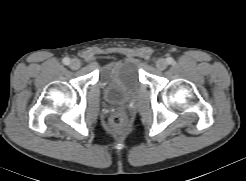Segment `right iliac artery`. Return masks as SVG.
I'll list each match as a JSON object with an SVG mask.
<instances>
[{
	"mask_svg": "<svg viewBox=\"0 0 246 181\" xmlns=\"http://www.w3.org/2000/svg\"><path fill=\"white\" fill-rule=\"evenodd\" d=\"M62 62L63 64L68 65L70 63V59L66 57L62 60Z\"/></svg>",
	"mask_w": 246,
	"mask_h": 181,
	"instance_id": "1",
	"label": "right iliac artery"
}]
</instances>
